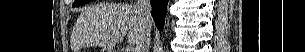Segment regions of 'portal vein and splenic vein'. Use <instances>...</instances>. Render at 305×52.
<instances>
[{
    "label": "portal vein and splenic vein",
    "instance_id": "portal-vein-and-splenic-vein-1",
    "mask_svg": "<svg viewBox=\"0 0 305 52\" xmlns=\"http://www.w3.org/2000/svg\"><path fill=\"white\" fill-rule=\"evenodd\" d=\"M125 34H126V33H124L123 36H124ZM126 52H133V50H132V48L129 47V48L126 49Z\"/></svg>",
    "mask_w": 305,
    "mask_h": 52
}]
</instances>
